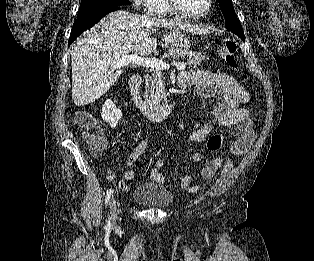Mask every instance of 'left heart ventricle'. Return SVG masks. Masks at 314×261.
<instances>
[{"mask_svg": "<svg viewBox=\"0 0 314 261\" xmlns=\"http://www.w3.org/2000/svg\"><path fill=\"white\" fill-rule=\"evenodd\" d=\"M180 5L190 13H201L205 11L208 0H178Z\"/></svg>", "mask_w": 314, "mask_h": 261, "instance_id": "b2bd125f", "label": "left heart ventricle"}]
</instances>
